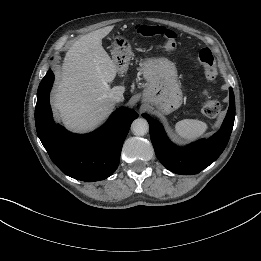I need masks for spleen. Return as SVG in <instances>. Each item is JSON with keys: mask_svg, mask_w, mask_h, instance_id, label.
I'll return each mask as SVG.
<instances>
[{"mask_svg": "<svg viewBox=\"0 0 261 261\" xmlns=\"http://www.w3.org/2000/svg\"><path fill=\"white\" fill-rule=\"evenodd\" d=\"M207 129L206 123L195 119H184L175 125L178 136L188 141L201 137Z\"/></svg>", "mask_w": 261, "mask_h": 261, "instance_id": "spleen-1", "label": "spleen"}]
</instances>
